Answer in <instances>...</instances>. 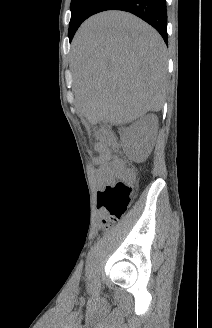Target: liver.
I'll list each match as a JSON object with an SVG mask.
<instances>
[{"label": "liver", "mask_w": 212, "mask_h": 328, "mask_svg": "<svg viewBox=\"0 0 212 328\" xmlns=\"http://www.w3.org/2000/svg\"><path fill=\"white\" fill-rule=\"evenodd\" d=\"M77 110L92 124L130 123L164 104L166 47L147 23L122 11L87 19L72 43Z\"/></svg>", "instance_id": "1"}]
</instances>
